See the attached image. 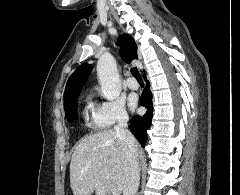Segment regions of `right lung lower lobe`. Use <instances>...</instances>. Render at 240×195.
Listing matches in <instances>:
<instances>
[{
  "mask_svg": "<svg viewBox=\"0 0 240 195\" xmlns=\"http://www.w3.org/2000/svg\"><path fill=\"white\" fill-rule=\"evenodd\" d=\"M140 103L147 108V112L143 116H134L130 120V129L142 146H144L148 139L147 131L151 126L153 117L152 93L150 91L149 81L147 80L146 87L141 95Z\"/></svg>",
  "mask_w": 240,
  "mask_h": 195,
  "instance_id": "1",
  "label": "right lung lower lobe"
}]
</instances>
